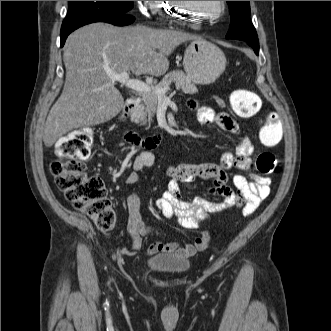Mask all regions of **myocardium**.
Listing matches in <instances>:
<instances>
[{"instance_id":"obj_1","label":"myocardium","mask_w":331,"mask_h":331,"mask_svg":"<svg viewBox=\"0 0 331 331\" xmlns=\"http://www.w3.org/2000/svg\"><path fill=\"white\" fill-rule=\"evenodd\" d=\"M177 4L180 8L175 11L176 14H174V18L179 22L186 24H198L199 22H205L211 19L219 18L223 15L225 11V1H219V10L216 14L204 17H197V19H195L194 17L190 16V6L187 1H177Z\"/></svg>"}]
</instances>
